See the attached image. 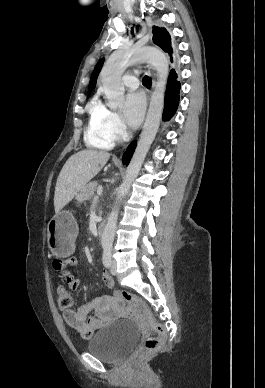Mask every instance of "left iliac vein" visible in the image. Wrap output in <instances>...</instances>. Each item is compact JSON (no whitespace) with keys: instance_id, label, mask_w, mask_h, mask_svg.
Instances as JSON below:
<instances>
[{"instance_id":"1","label":"left iliac vein","mask_w":265,"mask_h":388,"mask_svg":"<svg viewBox=\"0 0 265 388\" xmlns=\"http://www.w3.org/2000/svg\"><path fill=\"white\" fill-rule=\"evenodd\" d=\"M110 272H111L112 275H116L117 274V263H116L115 260L111 261Z\"/></svg>"}]
</instances>
